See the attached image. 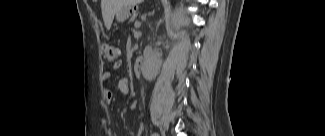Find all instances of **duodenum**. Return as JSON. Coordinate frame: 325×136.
Instances as JSON below:
<instances>
[{
	"instance_id": "obj_1",
	"label": "duodenum",
	"mask_w": 325,
	"mask_h": 136,
	"mask_svg": "<svg viewBox=\"0 0 325 136\" xmlns=\"http://www.w3.org/2000/svg\"><path fill=\"white\" fill-rule=\"evenodd\" d=\"M143 62H144V59H143V56H140L136 61H135V64H134V67H133V72L136 76H139L142 74L143 72Z\"/></svg>"
}]
</instances>
